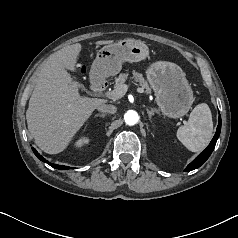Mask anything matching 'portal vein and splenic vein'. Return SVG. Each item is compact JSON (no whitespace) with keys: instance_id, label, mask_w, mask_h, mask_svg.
I'll return each instance as SVG.
<instances>
[{"instance_id":"portal-vein-and-splenic-vein-1","label":"portal vein and splenic vein","mask_w":238,"mask_h":238,"mask_svg":"<svg viewBox=\"0 0 238 238\" xmlns=\"http://www.w3.org/2000/svg\"><path fill=\"white\" fill-rule=\"evenodd\" d=\"M128 90V86L124 84L120 89L118 90H112V91H107L105 92V96L110 98V99H119L125 95V93ZM136 91L138 93H143L144 90L142 88H137Z\"/></svg>"}]
</instances>
